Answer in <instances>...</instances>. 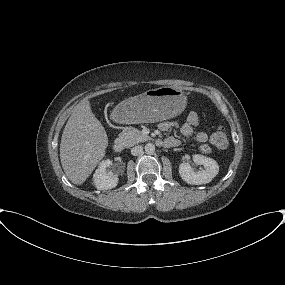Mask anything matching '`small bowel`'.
<instances>
[{"label":"small bowel","instance_id":"c3829d8e","mask_svg":"<svg viewBox=\"0 0 285 285\" xmlns=\"http://www.w3.org/2000/svg\"><path fill=\"white\" fill-rule=\"evenodd\" d=\"M199 126V118L197 114L190 113L187 120L183 123H178L175 121H165L160 124V130L167 132L173 128H179L183 135L187 138L194 137L199 143H205L208 136L205 132L199 131L194 134V129ZM164 144L168 147H173L178 144V140L175 137H168L164 140Z\"/></svg>","mask_w":285,"mask_h":285}]
</instances>
